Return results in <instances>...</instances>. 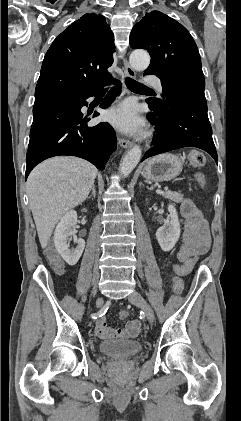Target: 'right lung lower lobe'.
Segmentation results:
<instances>
[{
	"label": "right lung lower lobe",
	"instance_id": "obj_1",
	"mask_svg": "<svg viewBox=\"0 0 241 421\" xmlns=\"http://www.w3.org/2000/svg\"><path fill=\"white\" fill-rule=\"evenodd\" d=\"M109 83L116 84L117 88H112L100 105L107 108L120 93L121 86L118 80L111 78L86 91L62 93L35 102L25 179L37 164L60 155L77 156L104 169L117 146L115 131L107 122L87 126L90 118L83 116L81 108L88 105L87 98Z\"/></svg>",
	"mask_w": 241,
	"mask_h": 421
}]
</instances>
